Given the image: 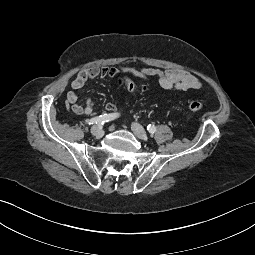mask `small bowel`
<instances>
[{
    "mask_svg": "<svg viewBox=\"0 0 255 255\" xmlns=\"http://www.w3.org/2000/svg\"><path fill=\"white\" fill-rule=\"evenodd\" d=\"M119 73H127L131 76L150 80L155 78L158 81L160 87L164 89H176V90H189V89H200L202 82L200 79L190 73L178 70L169 69L161 70L151 67H108V66H91L89 68L81 70L75 78L71 81L72 91L67 93V101L71 105V111L76 115L87 114L90 115L94 111V101L91 98H86L84 105L77 103L78 96L74 90L83 88L88 82L101 78H111ZM108 112L113 114L116 107L113 103H108L106 106Z\"/></svg>",
    "mask_w": 255,
    "mask_h": 255,
    "instance_id": "obj_1",
    "label": "small bowel"
}]
</instances>
